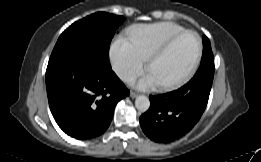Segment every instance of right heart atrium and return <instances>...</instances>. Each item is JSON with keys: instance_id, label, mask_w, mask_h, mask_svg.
Instances as JSON below:
<instances>
[{"instance_id": "right-heart-atrium-1", "label": "right heart atrium", "mask_w": 261, "mask_h": 162, "mask_svg": "<svg viewBox=\"0 0 261 162\" xmlns=\"http://www.w3.org/2000/svg\"><path fill=\"white\" fill-rule=\"evenodd\" d=\"M110 62L115 73L124 81H130L144 69L145 60L126 38H117L110 47Z\"/></svg>"}]
</instances>
